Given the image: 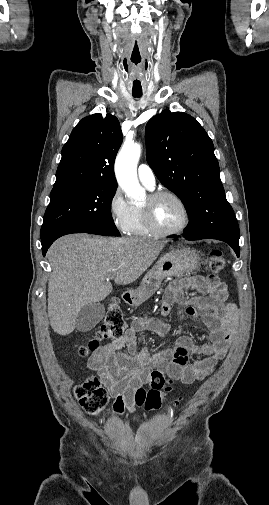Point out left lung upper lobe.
<instances>
[{
  "label": "left lung upper lobe",
  "mask_w": 269,
  "mask_h": 505,
  "mask_svg": "<svg viewBox=\"0 0 269 505\" xmlns=\"http://www.w3.org/2000/svg\"><path fill=\"white\" fill-rule=\"evenodd\" d=\"M145 138L149 166L188 210L190 221L184 236L239 238L213 142L196 119L183 112L164 110L148 121Z\"/></svg>",
  "instance_id": "5c2ea615"
}]
</instances>
